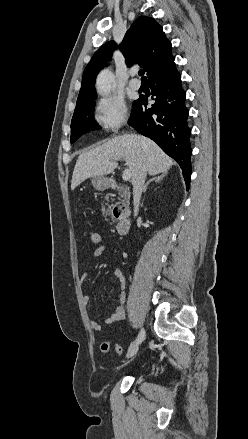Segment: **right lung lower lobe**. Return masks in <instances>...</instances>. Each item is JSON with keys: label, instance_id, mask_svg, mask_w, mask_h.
<instances>
[{"label": "right lung lower lobe", "instance_id": "right-lung-lower-lobe-1", "mask_svg": "<svg viewBox=\"0 0 248 439\" xmlns=\"http://www.w3.org/2000/svg\"><path fill=\"white\" fill-rule=\"evenodd\" d=\"M148 80L151 99L155 103L148 107L147 97L140 96L133 104L128 123L140 134L154 140L180 165L189 189L191 131L187 125L189 112L185 106L186 93L181 87V75L174 63L152 74Z\"/></svg>", "mask_w": 248, "mask_h": 439}]
</instances>
